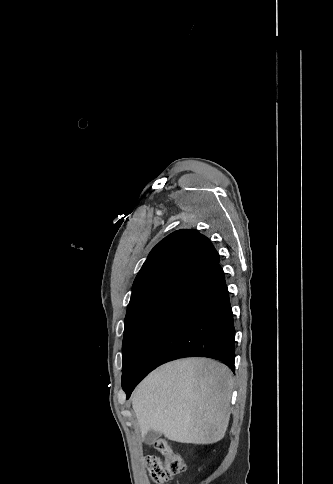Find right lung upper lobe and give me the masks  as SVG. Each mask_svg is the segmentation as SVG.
Masks as SVG:
<instances>
[{
    "label": "right lung upper lobe",
    "instance_id": "right-lung-upper-lobe-1",
    "mask_svg": "<svg viewBox=\"0 0 333 484\" xmlns=\"http://www.w3.org/2000/svg\"><path fill=\"white\" fill-rule=\"evenodd\" d=\"M219 262V254L197 230L182 229L160 241L149 253L132 288L127 311L181 288Z\"/></svg>",
    "mask_w": 333,
    "mask_h": 484
}]
</instances>
